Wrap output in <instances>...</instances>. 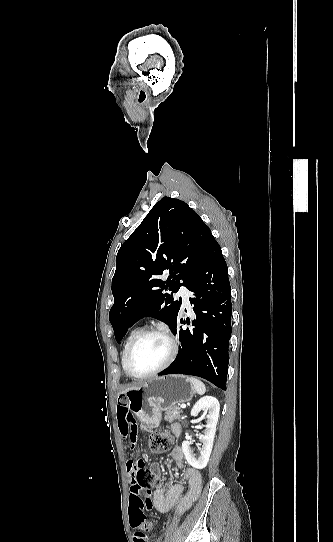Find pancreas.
I'll return each mask as SVG.
<instances>
[{"instance_id": "obj_1", "label": "pancreas", "mask_w": 333, "mask_h": 542, "mask_svg": "<svg viewBox=\"0 0 333 542\" xmlns=\"http://www.w3.org/2000/svg\"><path fill=\"white\" fill-rule=\"evenodd\" d=\"M181 414H182L181 408H176L175 406V408H170L169 412H166L165 420H167V422H170V424H172V422H176V420H180Z\"/></svg>"}]
</instances>
